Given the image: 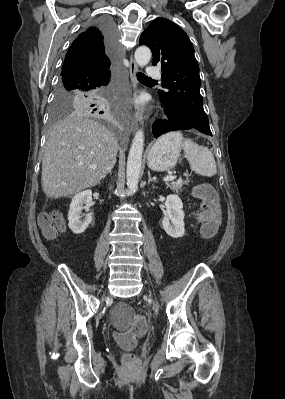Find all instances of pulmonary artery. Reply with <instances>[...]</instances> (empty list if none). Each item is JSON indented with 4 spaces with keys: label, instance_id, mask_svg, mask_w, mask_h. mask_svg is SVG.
Listing matches in <instances>:
<instances>
[{
    "label": "pulmonary artery",
    "instance_id": "pulmonary-artery-1",
    "mask_svg": "<svg viewBox=\"0 0 285 399\" xmlns=\"http://www.w3.org/2000/svg\"><path fill=\"white\" fill-rule=\"evenodd\" d=\"M146 76L151 79H161V73L158 69L153 66H148L146 70Z\"/></svg>",
    "mask_w": 285,
    "mask_h": 399
}]
</instances>
